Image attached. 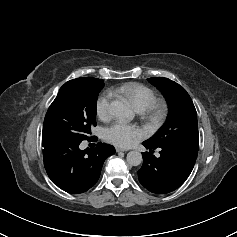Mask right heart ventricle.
<instances>
[{
  "label": "right heart ventricle",
  "instance_id": "1",
  "mask_svg": "<svg viewBox=\"0 0 237 237\" xmlns=\"http://www.w3.org/2000/svg\"><path fill=\"white\" fill-rule=\"evenodd\" d=\"M114 92L129 99L139 111L148 110L156 102V94L154 91L137 82L123 83L117 86Z\"/></svg>",
  "mask_w": 237,
  "mask_h": 237
}]
</instances>
